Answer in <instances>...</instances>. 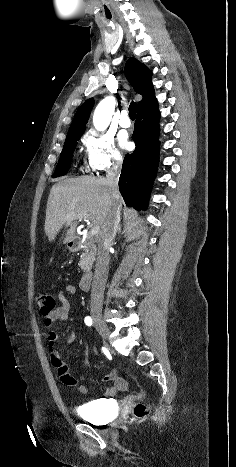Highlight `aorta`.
I'll list each match as a JSON object with an SVG mask.
<instances>
[{
  "label": "aorta",
  "mask_w": 236,
  "mask_h": 467,
  "mask_svg": "<svg viewBox=\"0 0 236 467\" xmlns=\"http://www.w3.org/2000/svg\"><path fill=\"white\" fill-rule=\"evenodd\" d=\"M115 98L108 96L96 107L93 114V125L98 131H104L109 126L115 109Z\"/></svg>",
  "instance_id": "aorta-1"
}]
</instances>
